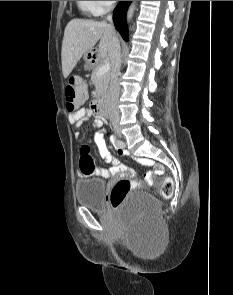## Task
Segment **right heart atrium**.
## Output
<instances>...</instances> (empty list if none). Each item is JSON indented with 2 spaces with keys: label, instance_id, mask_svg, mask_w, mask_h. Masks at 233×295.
<instances>
[{
  "label": "right heart atrium",
  "instance_id": "1",
  "mask_svg": "<svg viewBox=\"0 0 233 295\" xmlns=\"http://www.w3.org/2000/svg\"><path fill=\"white\" fill-rule=\"evenodd\" d=\"M98 13L107 10L114 1H93Z\"/></svg>",
  "mask_w": 233,
  "mask_h": 295
}]
</instances>
